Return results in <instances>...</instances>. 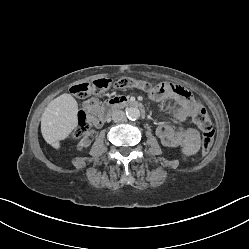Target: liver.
<instances>
[{
	"label": "liver",
	"mask_w": 249,
	"mask_h": 249,
	"mask_svg": "<svg viewBox=\"0 0 249 249\" xmlns=\"http://www.w3.org/2000/svg\"><path fill=\"white\" fill-rule=\"evenodd\" d=\"M78 103L70 94H62L52 100L41 118V133L44 140L55 149L66 139L78 124Z\"/></svg>",
	"instance_id": "obj_1"
}]
</instances>
